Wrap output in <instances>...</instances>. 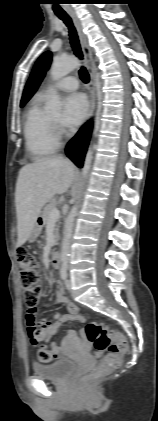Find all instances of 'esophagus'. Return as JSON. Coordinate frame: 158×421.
Masks as SVG:
<instances>
[{
	"label": "esophagus",
	"mask_w": 158,
	"mask_h": 421,
	"mask_svg": "<svg viewBox=\"0 0 158 421\" xmlns=\"http://www.w3.org/2000/svg\"><path fill=\"white\" fill-rule=\"evenodd\" d=\"M74 25L76 27L78 36H79V40H80V44H81V49L84 55V59L86 62V66L89 72V76H90V81H89V85H88V91H89V97H90V105H89V110L86 116V121L90 119V117L93 115L94 109H95V105H96V91H95V61H94V57H93V50L91 48V46L88 43V39L87 36L85 35L81 22L79 20V18L77 17V15L74 12H70L69 13Z\"/></svg>",
	"instance_id": "1"
}]
</instances>
